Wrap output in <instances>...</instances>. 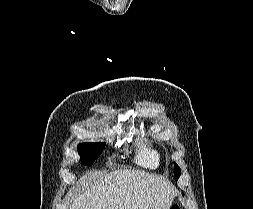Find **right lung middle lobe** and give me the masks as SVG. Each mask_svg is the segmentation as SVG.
Returning a JSON list of instances; mask_svg holds the SVG:
<instances>
[{
	"label": "right lung middle lobe",
	"mask_w": 253,
	"mask_h": 209,
	"mask_svg": "<svg viewBox=\"0 0 253 209\" xmlns=\"http://www.w3.org/2000/svg\"><path fill=\"white\" fill-rule=\"evenodd\" d=\"M105 143H80L77 147L80 155V160L84 165H92L94 161L100 156Z\"/></svg>",
	"instance_id": "obj_1"
}]
</instances>
